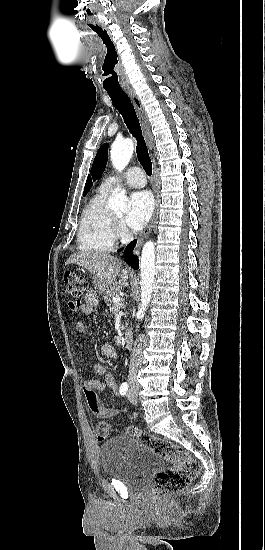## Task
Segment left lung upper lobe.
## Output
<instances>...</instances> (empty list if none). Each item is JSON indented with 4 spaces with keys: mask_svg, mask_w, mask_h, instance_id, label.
Masks as SVG:
<instances>
[{
    "mask_svg": "<svg viewBox=\"0 0 265 550\" xmlns=\"http://www.w3.org/2000/svg\"><path fill=\"white\" fill-rule=\"evenodd\" d=\"M107 158H108V145L103 144L99 148L96 154V157L93 161L91 172L93 174L94 179H98L99 177H101L106 166Z\"/></svg>",
    "mask_w": 265,
    "mask_h": 550,
    "instance_id": "1",
    "label": "left lung upper lobe"
}]
</instances>
